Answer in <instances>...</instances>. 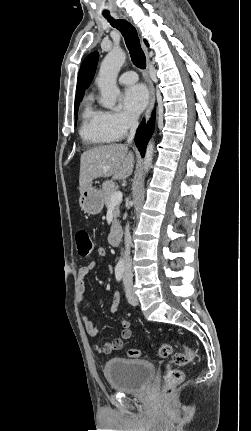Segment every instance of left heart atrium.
Segmentation results:
<instances>
[{"label":"left heart atrium","mask_w":251,"mask_h":431,"mask_svg":"<svg viewBox=\"0 0 251 431\" xmlns=\"http://www.w3.org/2000/svg\"><path fill=\"white\" fill-rule=\"evenodd\" d=\"M148 101V91L142 84L127 87L122 96L123 106L133 115L140 114L147 106Z\"/></svg>","instance_id":"left-heart-atrium-1"}]
</instances>
